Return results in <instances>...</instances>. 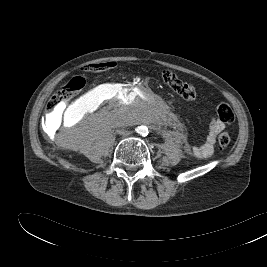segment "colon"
Wrapping results in <instances>:
<instances>
[{
    "instance_id": "colon-1",
    "label": "colon",
    "mask_w": 267,
    "mask_h": 267,
    "mask_svg": "<svg viewBox=\"0 0 267 267\" xmlns=\"http://www.w3.org/2000/svg\"><path fill=\"white\" fill-rule=\"evenodd\" d=\"M112 62L93 64L89 67L90 70H104L112 66ZM162 81L172 89L176 94L186 101H193L196 98V90L193 85L180 79L174 72L170 70H163L161 72ZM85 85L84 78L80 76L73 77L60 89H58L48 103V112L54 111L71 100L77 93H79ZM216 113L219 119L225 123H231L234 119L232 108L226 103H218L216 106ZM231 138L227 132H222L218 136V145L225 148L230 144Z\"/></svg>"
}]
</instances>
